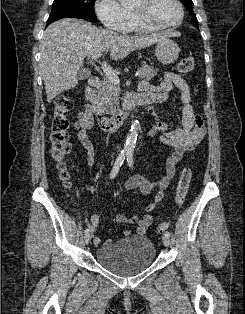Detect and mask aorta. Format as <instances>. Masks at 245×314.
<instances>
[{
  "mask_svg": "<svg viewBox=\"0 0 245 314\" xmlns=\"http://www.w3.org/2000/svg\"><path fill=\"white\" fill-rule=\"evenodd\" d=\"M121 3H125L127 0H119ZM139 122L134 120L131 125L129 134L127 135L126 143L124 145L123 153L126 155H132L137 141Z\"/></svg>",
  "mask_w": 245,
  "mask_h": 314,
  "instance_id": "obj_1",
  "label": "aorta"
}]
</instances>
